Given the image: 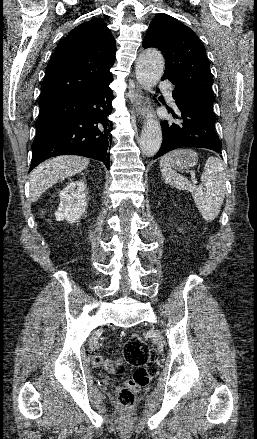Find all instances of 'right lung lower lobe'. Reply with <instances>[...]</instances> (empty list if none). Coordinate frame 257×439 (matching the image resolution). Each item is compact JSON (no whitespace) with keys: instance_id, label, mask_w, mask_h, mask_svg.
Returning <instances> with one entry per match:
<instances>
[{"instance_id":"right-lung-lower-lobe-1","label":"right lung lower lobe","mask_w":257,"mask_h":439,"mask_svg":"<svg viewBox=\"0 0 257 439\" xmlns=\"http://www.w3.org/2000/svg\"><path fill=\"white\" fill-rule=\"evenodd\" d=\"M112 80L39 105L29 172L50 157L66 154L100 160L110 168Z\"/></svg>"}]
</instances>
